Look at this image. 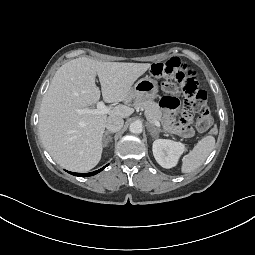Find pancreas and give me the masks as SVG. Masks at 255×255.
Wrapping results in <instances>:
<instances>
[{"label": "pancreas", "instance_id": "obj_1", "mask_svg": "<svg viewBox=\"0 0 255 255\" xmlns=\"http://www.w3.org/2000/svg\"><path fill=\"white\" fill-rule=\"evenodd\" d=\"M135 108L143 109L147 120L151 123L162 120V112L159 105L152 100L135 101Z\"/></svg>", "mask_w": 255, "mask_h": 255}]
</instances>
